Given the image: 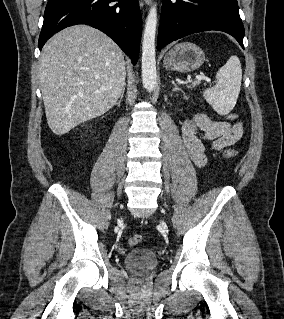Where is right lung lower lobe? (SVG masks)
Segmentation results:
<instances>
[{"instance_id":"98d812e1","label":"right lung lower lobe","mask_w":284,"mask_h":319,"mask_svg":"<svg viewBox=\"0 0 284 319\" xmlns=\"http://www.w3.org/2000/svg\"><path fill=\"white\" fill-rule=\"evenodd\" d=\"M76 24L101 30L136 64L142 29L138 0H48L39 49L55 33Z\"/></svg>"}]
</instances>
